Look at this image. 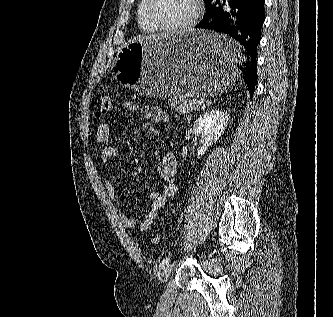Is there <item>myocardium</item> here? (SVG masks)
I'll return each mask as SVG.
<instances>
[{
  "instance_id": "1",
  "label": "myocardium",
  "mask_w": 333,
  "mask_h": 317,
  "mask_svg": "<svg viewBox=\"0 0 333 317\" xmlns=\"http://www.w3.org/2000/svg\"><path fill=\"white\" fill-rule=\"evenodd\" d=\"M151 4H152V0H145L144 13H145L147 20L150 22V24L153 27H155L157 30L167 31V32L177 33V34L185 33L187 31L191 30L198 22V20L201 16V13H202V8H203L202 0H192L193 12H192L190 18L186 22H184L183 24H180V25H168V24L161 23L153 16V14L151 12Z\"/></svg>"
}]
</instances>
